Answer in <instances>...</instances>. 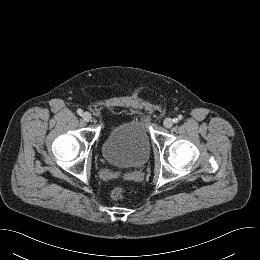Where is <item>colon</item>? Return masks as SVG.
<instances>
[{
	"label": "colon",
	"instance_id": "colon-1",
	"mask_svg": "<svg viewBox=\"0 0 260 260\" xmlns=\"http://www.w3.org/2000/svg\"><path fill=\"white\" fill-rule=\"evenodd\" d=\"M125 194H126V189L124 187L122 186L116 187L111 192V198L115 201H119L124 198Z\"/></svg>",
	"mask_w": 260,
	"mask_h": 260
}]
</instances>
